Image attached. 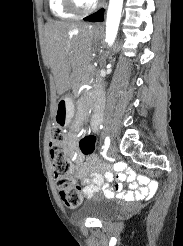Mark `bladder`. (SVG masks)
Instances as JSON below:
<instances>
[{
  "label": "bladder",
  "instance_id": "obj_1",
  "mask_svg": "<svg viewBox=\"0 0 183 246\" xmlns=\"http://www.w3.org/2000/svg\"><path fill=\"white\" fill-rule=\"evenodd\" d=\"M118 210L119 205L116 201L98 194L86 200L76 214L79 217L103 221L112 218Z\"/></svg>",
  "mask_w": 183,
  "mask_h": 246
}]
</instances>
